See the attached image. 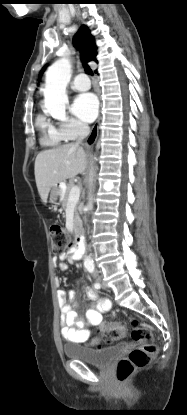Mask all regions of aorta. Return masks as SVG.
<instances>
[{
	"instance_id": "aorta-1",
	"label": "aorta",
	"mask_w": 187,
	"mask_h": 415,
	"mask_svg": "<svg viewBox=\"0 0 187 415\" xmlns=\"http://www.w3.org/2000/svg\"><path fill=\"white\" fill-rule=\"evenodd\" d=\"M71 78V63L67 58H61L54 62L46 72L44 100L46 112L56 119L66 118V106L68 104V96L66 87ZM93 177V172H92ZM92 201L90 200L86 206V210L90 211ZM86 262L92 263L91 258Z\"/></svg>"
}]
</instances>
